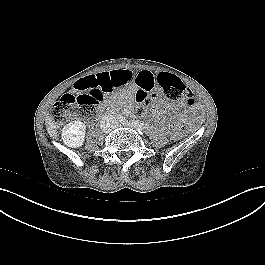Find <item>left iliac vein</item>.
I'll use <instances>...</instances> for the list:
<instances>
[{"instance_id": "left-iliac-vein-1", "label": "left iliac vein", "mask_w": 265, "mask_h": 265, "mask_svg": "<svg viewBox=\"0 0 265 265\" xmlns=\"http://www.w3.org/2000/svg\"><path fill=\"white\" fill-rule=\"evenodd\" d=\"M120 125L130 127L131 126V123L128 122V121H123L120 124H118L117 126H120Z\"/></svg>"}]
</instances>
